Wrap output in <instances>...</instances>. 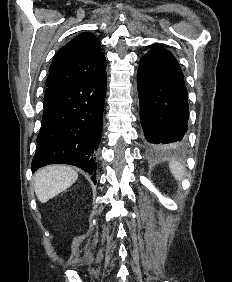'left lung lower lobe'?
I'll use <instances>...</instances> for the list:
<instances>
[{"mask_svg":"<svg viewBox=\"0 0 232 282\" xmlns=\"http://www.w3.org/2000/svg\"><path fill=\"white\" fill-rule=\"evenodd\" d=\"M140 121L151 150L185 145L189 105L182 70L172 53L154 44L137 73Z\"/></svg>","mask_w":232,"mask_h":282,"instance_id":"0a47b994","label":"left lung lower lobe"}]
</instances>
